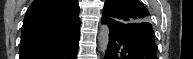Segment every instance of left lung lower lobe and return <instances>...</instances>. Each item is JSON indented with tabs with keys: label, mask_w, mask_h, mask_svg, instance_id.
<instances>
[{
	"label": "left lung lower lobe",
	"mask_w": 193,
	"mask_h": 59,
	"mask_svg": "<svg viewBox=\"0 0 193 59\" xmlns=\"http://www.w3.org/2000/svg\"><path fill=\"white\" fill-rule=\"evenodd\" d=\"M102 23L110 27L105 59H157L155 33L150 23L130 28L106 15Z\"/></svg>",
	"instance_id": "obj_1"
}]
</instances>
